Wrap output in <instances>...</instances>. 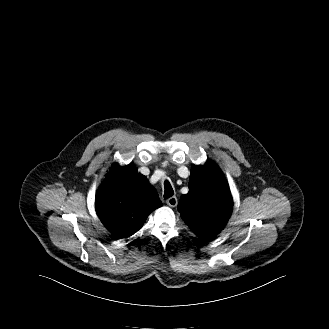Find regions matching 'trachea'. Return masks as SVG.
<instances>
[{
  "instance_id": "trachea-1",
  "label": "trachea",
  "mask_w": 329,
  "mask_h": 329,
  "mask_svg": "<svg viewBox=\"0 0 329 329\" xmlns=\"http://www.w3.org/2000/svg\"><path fill=\"white\" fill-rule=\"evenodd\" d=\"M174 194L173 188L168 180L164 181V198H170Z\"/></svg>"
}]
</instances>
